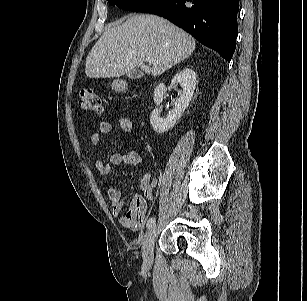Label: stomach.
<instances>
[{
	"mask_svg": "<svg viewBox=\"0 0 307 301\" xmlns=\"http://www.w3.org/2000/svg\"><path fill=\"white\" fill-rule=\"evenodd\" d=\"M112 88L115 91L120 92V91H124L126 89V85L121 80H114L113 83H112Z\"/></svg>",
	"mask_w": 307,
	"mask_h": 301,
	"instance_id": "0dacf381",
	"label": "stomach"
}]
</instances>
